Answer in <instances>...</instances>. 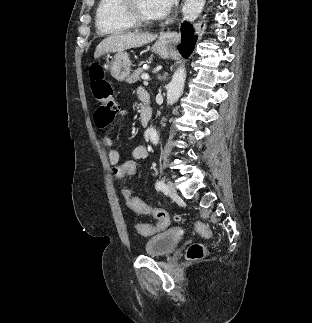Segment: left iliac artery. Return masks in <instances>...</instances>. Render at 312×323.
<instances>
[{"instance_id":"left-iliac-artery-1","label":"left iliac artery","mask_w":312,"mask_h":323,"mask_svg":"<svg viewBox=\"0 0 312 323\" xmlns=\"http://www.w3.org/2000/svg\"><path fill=\"white\" fill-rule=\"evenodd\" d=\"M165 188V184L162 180L156 182V189L157 190H162Z\"/></svg>"}]
</instances>
